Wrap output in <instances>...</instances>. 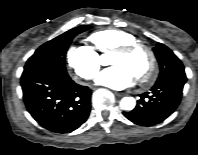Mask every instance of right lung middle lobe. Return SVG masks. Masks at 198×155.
<instances>
[{"label": "right lung middle lobe", "instance_id": "1", "mask_svg": "<svg viewBox=\"0 0 198 155\" xmlns=\"http://www.w3.org/2000/svg\"><path fill=\"white\" fill-rule=\"evenodd\" d=\"M89 28L90 26H79L73 28L43 44L28 59L24 70L30 68L49 69L60 74L67 75L65 69V56L69 44L77 34L84 32Z\"/></svg>", "mask_w": 198, "mask_h": 155}]
</instances>
